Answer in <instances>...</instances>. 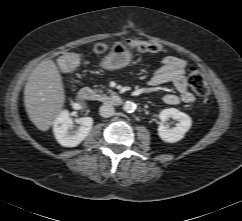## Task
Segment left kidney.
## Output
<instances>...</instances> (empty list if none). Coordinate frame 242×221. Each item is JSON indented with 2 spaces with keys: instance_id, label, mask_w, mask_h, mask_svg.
I'll use <instances>...</instances> for the list:
<instances>
[{
  "instance_id": "obj_1",
  "label": "left kidney",
  "mask_w": 242,
  "mask_h": 221,
  "mask_svg": "<svg viewBox=\"0 0 242 221\" xmlns=\"http://www.w3.org/2000/svg\"><path fill=\"white\" fill-rule=\"evenodd\" d=\"M159 118L162 123L158 127V135L167 143H175L181 140L192 125L191 118L176 108L162 110L159 114ZM170 118L178 121L173 128L164 124Z\"/></svg>"
}]
</instances>
